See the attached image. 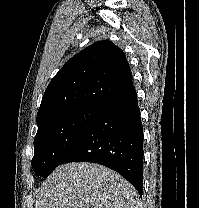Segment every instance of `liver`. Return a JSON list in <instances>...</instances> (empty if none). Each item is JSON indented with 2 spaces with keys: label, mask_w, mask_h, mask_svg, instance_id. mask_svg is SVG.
<instances>
[{
  "label": "liver",
  "mask_w": 199,
  "mask_h": 208,
  "mask_svg": "<svg viewBox=\"0 0 199 208\" xmlns=\"http://www.w3.org/2000/svg\"><path fill=\"white\" fill-rule=\"evenodd\" d=\"M35 208H140L136 189L95 163L58 166L36 193Z\"/></svg>",
  "instance_id": "obj_1"
}]
</instances>
